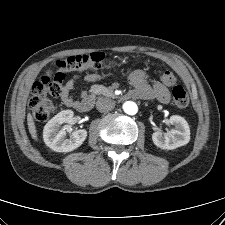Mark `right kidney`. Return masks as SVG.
I'll use <instances>...</instances> for the list:
<instances>
[{
    "mask_svg": "<svg viewBox=\"0 0 225 225\" xmlns=\"http://www.w3.org/2000/svg\"><path fill=\"white\" fill-rule=\"evenodd\" d=\"M73 111L64 110L55 115L47 122L43 130L45 144L56 152H71L80 147L87 137L85 129L75 130L66 139L65 128H60L64 123H70L73 118Z\"/></svg>",
    "mask_w": 225,
    "mask_h": 225,
    "instance_id": "obj_1",
    "label": "right kidney"
}]
</instances>
